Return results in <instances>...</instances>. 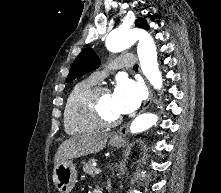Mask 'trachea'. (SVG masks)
<instances>
[{
	"mask_svg": "<svg viewBox=\"0 0 221 193\" xmlns=\"http://www.w3.org/2000/svg\"><path fill=\"white\" fill-rule=\"evenodd\" d=\"M133 68H138V65H134V67Z\"/></svg>",
	"mask_w": 221,
	"mask_h": 193,
	"instance_id": "trachea-1",
	"label": "trachea"
}]
</instances>
